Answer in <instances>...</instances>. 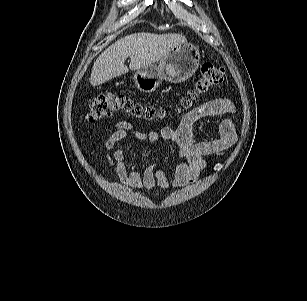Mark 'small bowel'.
<instances>
[{
	"instance_id": "obj_1",
	"label": "small bowel",
	"mask_w": 307,
	"mask_h": 301,
	"mask_svg": "<svg viewBox=\"0 0 307 301\" xmlns=\"http://www.w3.org/2000/svg\"><path fill=\"white\" fill-rule=\"evenodd\" d=\"M235 106L228 98H217L205 101L187 112L177 128L164 127L160 131H140L130 121H119L115 130L104 141L106 159L123 185L136 189H152L158 185L162 189L182 187L196 180L207 165L206 157L220 156L228 152L235 144L237 136L233 122L224 119L219 124V137L210 140L196 141L194 124L208 117H217L233 113ZM133 138L144 143L155 144L159 141L171 143L177 149L181 162L174 169V178L169 180L166 172L158 165H150L141 172L137 165L128 167L125 162V148L115 150L113 157L110 151L125 139Z\"/></svg>"
}]
</instances>
